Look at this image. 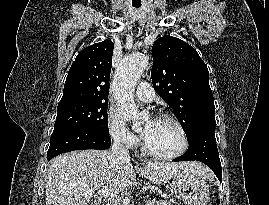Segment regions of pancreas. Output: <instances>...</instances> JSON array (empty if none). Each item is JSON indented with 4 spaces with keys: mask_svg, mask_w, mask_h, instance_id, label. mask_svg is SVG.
Instances as JSON below:
<instances>
[{
    "mask_svg": "<svg viewBox=\"0 0 269 205\" xmlns=\"http://www.w3.org/2000/svg\"><path fill=\"white\" fill-rule=\"evenodd\" d=\"M148 205H173V204L168 200H158V201H154Z\"/></svg>",
    "mask_w": 269,
    "mask_h": 205,
    "instance_id": "obj_1",
    "label": "pancreas"
}]
</instances>
